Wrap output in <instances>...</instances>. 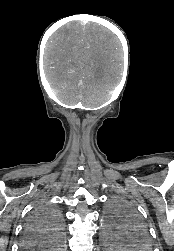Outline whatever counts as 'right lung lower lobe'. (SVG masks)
<instances>
[{
	"label": "right lung lower lobe",
	"mask_w": 174,
	"mask_h": 251,
	"mask_svg": "<svg viewBox=\"0 0 174 251\" xmlns=\"http://www.w3.org/2000/svg\"><path fill=\"white\" fill-rule=\"evenodd\" d=\"M29 232H32V231L29 230V228H27V229H26V232H25V235H24V238H23L22 245H23V243L25 242V240H26V235H27ZM23 249H24V248H23ZM24 250H27V249H24ZM27 251H30V250H27Z\"/></svg>",
	"instance_id": "right-lung-lower-lobe-1"
}]
</instances>
